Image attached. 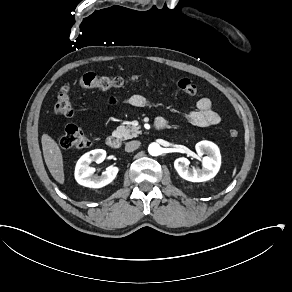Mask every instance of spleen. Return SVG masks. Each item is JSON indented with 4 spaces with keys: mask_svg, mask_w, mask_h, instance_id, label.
<instances>
[{
    "mask_svg": "<svg viewBox=\"0 0 292 292\" xmlns=\"http://www.w3.org/2000/svg\"><path fill=\"white\" fill-rule=\"evenodd\" d=\"M236 173V169H234V171H233V175Z\"/></svg>",
    "mask_w": 292,
    "mask_h": 292,
    "instance_id": "3e777b00",
    "label": "spleen"
}]
</instances>
